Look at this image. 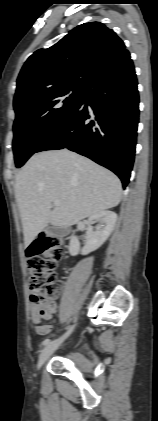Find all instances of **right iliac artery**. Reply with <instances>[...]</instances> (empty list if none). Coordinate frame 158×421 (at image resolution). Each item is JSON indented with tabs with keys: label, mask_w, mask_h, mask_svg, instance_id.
Returning a JSON list of instances; mask_svg holds the SVG:
<instances>
[{
	"label": "right iliac artery",
	"mask_w": 158,
	"mask_h": 421,
	"mask_svg": "<svg viewBox=\"0 0 158 421\" xmlns=\"http://www.w3.org/2000/svg\"><path fill=\"white\" fill-rule=\"evenodd\" d=\"M49 342H50V339H45L42 344L43 346H46L47 344H49Z\"/></svg>",
	"instance_id": "right-iliac-artery-1"
}]
</instances>
